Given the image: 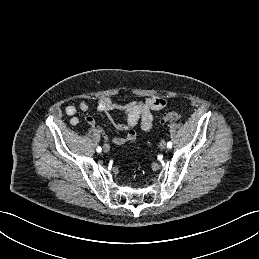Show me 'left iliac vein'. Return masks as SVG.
Masks as SVG:
<instances>
[{"label": "left iliac vein", "mask_w": 259, "mask_h": 259, "mask_svg": "<svg viewBox=\"0 0 259 259\" xmlns=\"http://www.w3.org/2000/svg\"><path fill=\"white\" fill-rule=\"evenodd\" d=\"M160 148H161V149H165V148H166V142H165L164 140H162V141L160 142Z\"/></svg>", "instance_id": "left-iliac-vein-1"}]
</instances>
